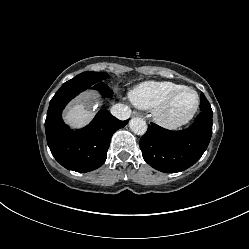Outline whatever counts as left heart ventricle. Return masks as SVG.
<instances>
[{
  "mask_svg": "<svg viewBox=\"0 0 249 249\" xmlns=\"http://www.w3.org/2000/svg\"><path fill=\"white\" fill-rule=\"evenodd\" d=\"M194 100L195 98L192 92L183 91L179 93L169 109V116L177 118L185 115L192 108Z\"/></svg>",
  "mask_w": 249,
  "mask_h": 249,
  "instance_id": "1",
  "label": "left heart ventricle"
}]
</instances>
